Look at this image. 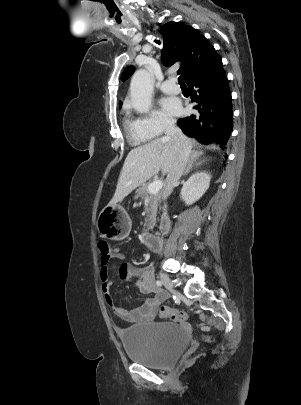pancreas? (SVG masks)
Here are the masks:
<instances>
[{
	"instance_id": "cf45deb5",
	"label": "pancreas",
	"mask_w": 301,
	"mask_h": 405,
	"mask_svg": "<svg viewBox=\"0 0 301 405\" xmlns=\"http://www.w3.org/2000/svg\"><path fill=\"white\" fill-rule=\"evenodd\" d=\"M149 183H143L136 190V196L142 200L148 199L147 217L145 218L143 226V234L153 229L156 222L158 202L160 199L159 194H151L148 192Z\"/></svg>"
}]
</instances>
